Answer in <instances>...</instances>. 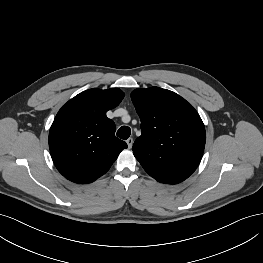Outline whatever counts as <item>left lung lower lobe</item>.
<instances>
[{
  "label": "left lung lower lobe",
  "instance_id": "1",
  "mask_svg": "<svg viewBox=\"0 0 263 263\" xmlns=\"http://www.w3.org/2000/svg\"><path fill=\"white\" fill-rule=\"evenodd\" d=\"M189 176L190 174L185 173L181 170L172 167H167L163 169V171L159 173V175L156 176L155 179L161 183L177 184L184 181Z\"/></svg>",
  "mask_w": 263,
  "mask_h": 263
}]
</instances>
